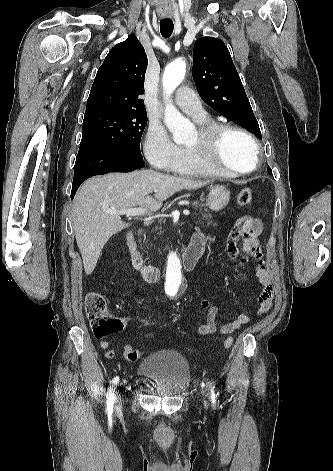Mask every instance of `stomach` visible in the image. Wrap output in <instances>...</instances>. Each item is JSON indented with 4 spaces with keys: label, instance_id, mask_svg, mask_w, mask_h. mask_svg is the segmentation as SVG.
Instances as JSON below:
<instances>
[{
    "label": "stomach",
    "instance_id": "0dacf381",
    "mask_svg": "<svg viewBox=\"0 0 333 471\" xmlns=\"http://www.w3.org/2000/svg\"><path fill=\"white\" fill-rule=\"evenodd\" d=\"M230 201V192L222 185H216L210 188L207 198V206L215 211L223 210Z\"/></svg>",
    "mask_w": 333,
    "mask_h": 471
}]
</instances>
